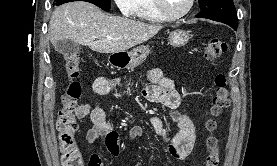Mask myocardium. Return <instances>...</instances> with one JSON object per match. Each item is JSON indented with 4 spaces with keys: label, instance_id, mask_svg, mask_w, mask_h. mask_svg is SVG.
I'll return each mask as SVG.
<instances>
[{
    "label": "myocardium",
    "instance_id": "obj_1",
    "mask_svg": "<svg viewBox=\"0 0 277 166\" xmlns=\"http://www.w3.org/2000/svg\"><path fill=\"white\" fill-rule=\"evenodd\" d=\"M154 2L162 17L169 21H175L185 17L192 10L195 0H188L186 7L181 12L175 14L168 11L164 0H154Z\"/></svg>",
    "mask_w": 277,
    "mask_h": 166
}]
</instances>
